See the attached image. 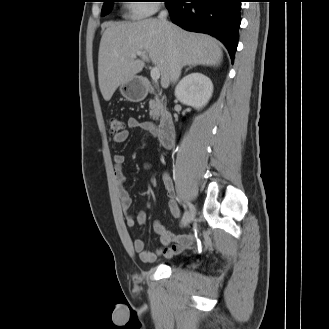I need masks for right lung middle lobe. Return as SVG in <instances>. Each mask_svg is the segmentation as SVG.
<instances>
[{"instance_id": "dd1d6c3e", "label": "right lung middle lobe", "mask_w": 329, "mask_h": 329, "mask_svg": "<svg viewBox=\"0 0 329 329\" xmlns=\"http://www.w3.org/2000/svg\"><path fill=\"white\" fill-rule=\"evenodd\" d=\"M103 1H104V4L102 7L101 14L106 15L110 11L112 3L115 2L116 0H103Z\"/></svg>"}]
</instances>
